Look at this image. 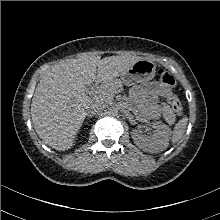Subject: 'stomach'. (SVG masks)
<instances>
[{"label":"stomach","mask_w":220,"mask_h":220,"mask_svg":"<svg viewBox=\"0 0 220 220\" xmlns=\"http://www.w3.org/2000/svg\"><path fill=\"white\" fill-rule=\"evenodd\" d=\"M156 74V64L147 59L138 60L123 75L124 84L131 86L138 83L144 84L154 78Z\"/></svg>","instance_id":"1"}]
</instances>
